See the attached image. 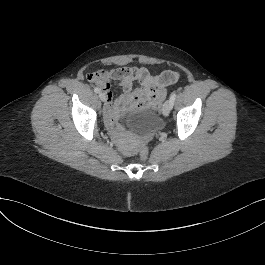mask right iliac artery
<instances>
[{
    "label": "right iliac artery",
    "instance_id": "right-iliac-artery-1",
    "mask_svg": "<svg viewBox=\"0 0 265 265\" xmlns=\"http://www.w3.org/2000/svg\"><path fill=\"white\" fill-rule=\"evenodd\" d=\"M94 91L95 93H100L101 90L98 87H95Z\"/></svg>",
    "mask_w": 265,
    "mask_h": 265
}]
</instances>
